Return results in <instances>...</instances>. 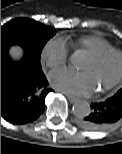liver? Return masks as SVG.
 I'll return each mask as SVG.
<instances>
[{"label": "liver", "mask_w": 122, "mask_h": 154, "mask_svg": "<svg viewBox=\"0 0 122 154\" xmlns=\"http://www.w3.org/2000/svg\"><path fill=\"white\" fill-rule=\"evenodd\" d=\"M10 55L14 59H19L23 55V51L19 46H13L10 48Z\"/></svg>", "instance_id": "1"}]
</instances>
